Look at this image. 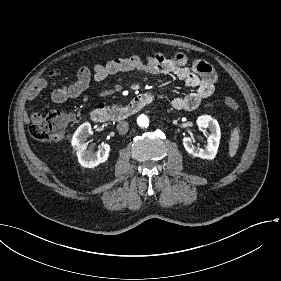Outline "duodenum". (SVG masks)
I'll return each instance as SVG.
<instances>
[{"instance_id": "410a0bca", "label": "duodenum", "mask_w": 281, "mask_h": 281, "mask_svg": "<svg viewBox=\"0 0 281 281\" xmlns=\"http://www.w3.org/2000/svg\"><path fill=\"white\" fill-rule=\"evenodd\" d=\"M149 102H151V95L146 93L136 96L125 107L99 106L92 111L91 120L96 123L124 121Z\"/></svg>"}]
</instances>
